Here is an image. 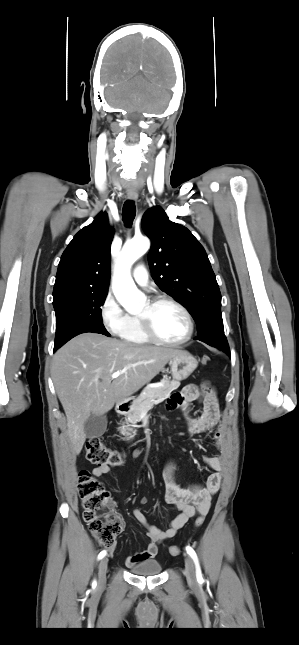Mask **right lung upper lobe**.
<instances>
[{"label": "right lung upper lobe", "instance_id": "right-lung-upper-lobe-1", "mask_svg": "<svg viewBox=\"0 0 299 645\" xmlns=\"http://www.w3.org/2000/svg\"><path fill=\"white\" fill-rule=\"evenodd\" d=\"M112 239L105 212L75 235L58 265L53 302L66 294L108 291Z\"/></svg>", "mask_w": 299, "mask_h": 645}]
</instances>
